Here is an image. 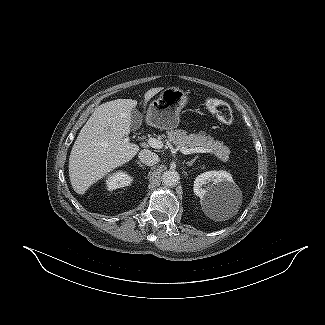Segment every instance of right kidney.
Instances as JSON below:
<instances>
[{
  "mask_svg": "<svg viewBox=\"0 0 325 325\" xmlns=\"http://www.w3.org/2000/svg\"><path fill=\"white\" fill-rule=\"evenodd\" d=\"M133 178L125 171H117L109 175L106 179L108 190L123 188L131 184Z\"/></svg>",
  "mask_w": 325,
  "mask_h": 325,
  "instance_id": "1",
  "label": "right kidney"
}]
</instances>
